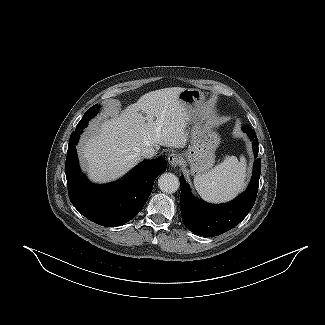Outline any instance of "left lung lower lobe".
I'll use <instances>...</instances> for the list:
<instances>
[{"mask_svg": "<svg viewBox=\"0 0 325 325\" xmlns=\"http://www.w3.org/2000/svg\"><path fill=\"white\" fill-rule=\"evenodd\" d=\"M242 130L253 141L255 158L258 155V139L250 127ZM261 173V160L257 158L253 165V175L246 191L231 202L212 205L195 199L184 177H180V210L184 225L193 233L213 237L229 231L239 224L250 212L258 191Z\"/></svg>", "mask_w": 325, "mask_h": 325, "instance_id": "obj_1", "label": "left lung lower lobe"}]
</instances>
